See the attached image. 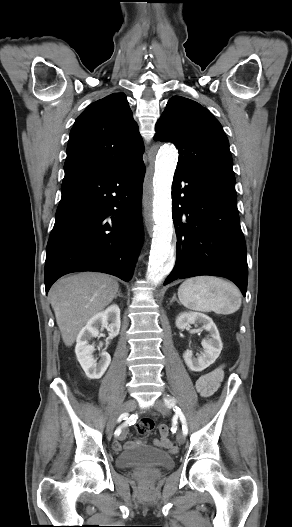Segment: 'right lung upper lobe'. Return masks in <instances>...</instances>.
I'll list each match as a JSON object with an SVG mask.
<instances>
[{"mask_svg":"<svg viewBox=\"0 0 292 527\" xmlns=\"http://www.w3.org/2000/svg\"><path fill=\"white\" fill-rule=\"evenodd\" d=\"M143 140L124 93L90 104L70 132L65 175L105 173L142 159Z\"/></svg>","mask_w":292,"mask_h":527,"instance_id":"1","label":"right lung upper lobe"}]
</instances>
